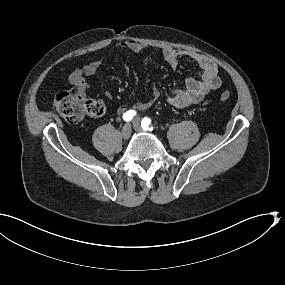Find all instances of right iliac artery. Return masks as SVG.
Listing matches in <instances>:
<instances>
[{"label":"right iliac artery","instance_id":"obj_1","mask_svg":"<svg viewBox=\"0 0 285 285\" xmlns=\"http://www.w3.org/2000/svg\"><path fill=\"white\" fill-rule=\"evenodd\" d=\"M135 115H136V112L134 110H129L123 114V119L125 121H131Z\"/></svg>","mask_w":285,"mask_h":285}]
</instances>
